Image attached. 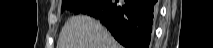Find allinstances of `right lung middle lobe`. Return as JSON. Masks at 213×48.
<instances>
[{"instance_id":"obj_1","label":"right lung middle lobe","mask_w":213,"mask_h":48,"mask_svg":"<svg viewBox=\"0 0 213 48\" xmlns=\"http://www.w3.org/2000/svg\"><path fill=\"white\" fill-rule=\"evenodd\" d=\"M93 1L94 0H64L62 1L61 12L69 10L74 14L84 13Z\"/></svg>"}]
</instances>
